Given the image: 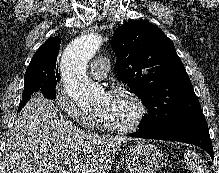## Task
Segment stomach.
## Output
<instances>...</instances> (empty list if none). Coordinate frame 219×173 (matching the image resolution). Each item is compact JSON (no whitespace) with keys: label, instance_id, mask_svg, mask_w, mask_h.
<instances>
[{"label":"stomach","instance_id":"stomach-1","mask_svg":"<svg viewBox=\"0 0 219 173\" xmlns=\"http://www.w3.org/2000/svg\"><path fill=\"white\" fill-rule=\"evenodd\" d=\"M125 161L132 173H157L164 164V154L151 143L140 140L127 148Z\"/></svg>","mask_w":219,"mask_h":173}]
</instances>
